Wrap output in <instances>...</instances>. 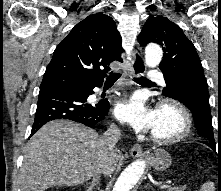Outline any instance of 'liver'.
Listing matches in <instances>:
<instances>
[{"label":"liver","instance_id":"obj_1","mask_svg":"<svg viewBox=\"0 0 221 191\" xmlns=\"http://www.w3.org/2000/svg\"><path fill=\"white\" fill-rule=\"evenodd\" d=\"M101 137L92 129L68 120H54L40 128L24 150L22 191H45L53 186H76L100 169ZM118 162L112 157L105 175Z\"/></svg>","mask_w":221,"mask_h":191}]
</instances>
